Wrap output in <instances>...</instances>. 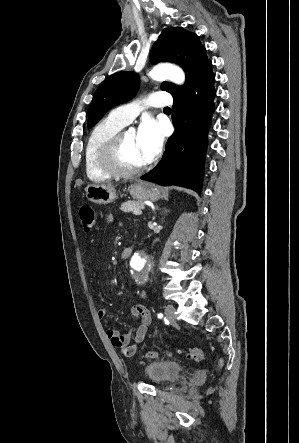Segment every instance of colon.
Returning a JSON list of instances; mask_svg holds the SVG:
<instances>
[{
	"instance_id": "obj_1",
	"label": "colon",
	"mask_w": 299,
	"mask_h": 443,
	"mask_svg": "<svg viewBox=\"0 0 299 443\" xmlns=\"http://www.w3.org/2000/svg\"><path fill=\"white\" fill-rule=\"evenodd\" d=\"M79 219L81 223V228L84 232H91L95 227V214L93 209L90 206H82L79 209ZM182 352V351H179ZM186 356L195 361H202L205 356L203 352L199 348H188L186 351ZM158 353L155 351L148 352L145 357L146 358H155ZM222 365V362H219V366Z\"/></svg>"
}]
</instances>
